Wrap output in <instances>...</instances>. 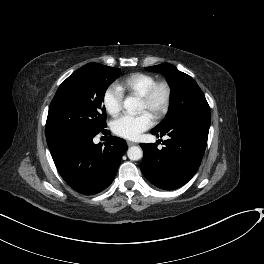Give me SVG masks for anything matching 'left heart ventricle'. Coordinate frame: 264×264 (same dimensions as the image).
Listing matches in <instances>:
<instances>
[{"label": "left heart ventricle", "mask_w": 264, "mask_h": 264, "mask_svg": "<svg viewBox=\"0 0 264 264\" xmlns=\"http://www.w3.org/2000/svg\"><path fill=\"white\" fill-rule=\"evenodd\" d=\"M162 98H163V92H160L159 95H158V98L156 100V104L157 105H159L161 103ZM141 110L150 112L148 106L143 101H141Z\"/></svg>", "instance_id": "obj_1"}]
</instances>
